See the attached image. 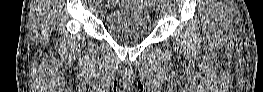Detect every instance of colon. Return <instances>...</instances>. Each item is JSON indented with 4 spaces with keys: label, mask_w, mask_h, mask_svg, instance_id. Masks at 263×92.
Returning a JSON list of instances; mask_svg holds the SVG:
<instances>
[{
    "label": "colon",
    "mask_w": 263,
    "mask_h": 92,
    "mask_svg": "<svg viewBox=\"0 0 263 92\" xmlns=\"http://www.w3.org/2000/svg\"><path fill=\"white\" fill-rule=\"evenodd\" d=\"M141 2H143V5H144V4H149L151 2H156V1H141Z\"/></svg>",
    "instance_id": "colon-1"
}]
</instances>
